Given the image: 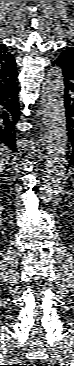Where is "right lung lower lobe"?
Listing matches in <instances>:
<instances>
[{"mask_svg": "<svg viewBox=\"0 0 74 366\" xmlns=\"http://www.w3.org/2000/svg\"><path fill=\"white\" fill-rule=\"evenodd\" d=\"M19 88L17 78L9 85L0 86V144L17 152L15 125L19 120Z\"/></svg>", "mask_w": 74, "mask_h": 366, "instance_id": "98d812e1", "label": "right lung lower lobe"}]
</instances>
